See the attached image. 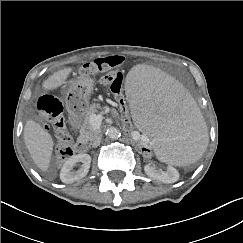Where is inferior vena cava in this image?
Segmentation results:
<instances>
[{"instance_id": "602c4592", "label": "inferior vena cava", "mask_w": 243, "mask_h": 243, "mask_svg": "<svg viewBox=\"0 0 243 243\" xmlns=\"http://www.w3.org/2000/svg\"><path fill=\"white\" fill-rule=\"evenodd\" d=\"M101 135H96L93 139H92V141H91V145H92V147H98L99 145H100V143H101Z\"/></svg>"}]
</instances>
